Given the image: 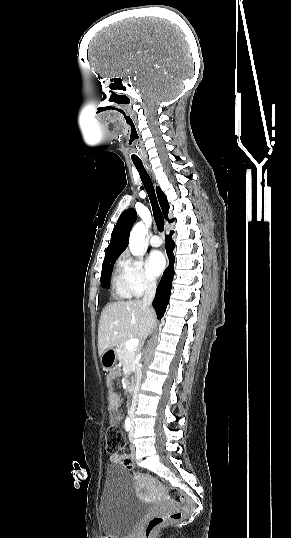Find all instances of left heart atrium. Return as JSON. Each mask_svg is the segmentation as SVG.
<instances>
[{
	"label": "left heart atrium",
	"instance_id": "obj_1",
	"mask_svg": "<svg viewBox=\"0 0 291 538\" xmlns=\"http://www.w3.org/2000/svg\"><path fill=\"white\" fill-rule=\"evenodd\" d=\"M165 258L163 254L159 251H154L150 253L147 259V272L151 278L158 277L164 267H165Z\"/></svg>",
	"mask_w": 291,
	"mask_h": 538
}]
</instances>
